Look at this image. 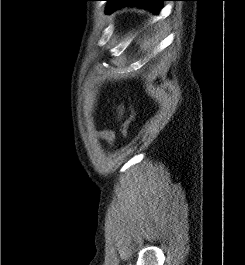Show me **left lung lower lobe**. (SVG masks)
<instances>
[{"label":"left lung lower lobe","mask_w":245,"mask_h":265,"mask_svg":"<svg viewBox=\"0 0 245 265\" xmlns=\"http://www.w3.org/2000/svg\"><path fill=\"white\" fill-rule=\"evenodd\" d=\"M108 1L106 13L110 14L114 10L128 5H136L139 7H144L147 9H151L155 14H158L163 1H170V0H106Z\"/></svg>","instance_id":"left-lung-lower-lobe-1"}]
</instances>
